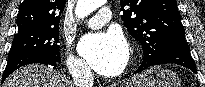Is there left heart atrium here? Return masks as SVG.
Returning a JSON list of instances; mask_svg holds the SVG:
<instances>
[{"label":"left heart atrium","mask_w":205,"mask_h":87,"mask_svg":"<svg viewBox=\"0 0 205 87\" xmlns=\"http://www.w3.org/2000/svg\"><path fill=\"white\" fill-rule=\"evenodd\" d=\"M79 52L95 71L104 76L119 74L128 58L127 44L116 31L84 36L79 43Z\"/></svg>","instance_id":"obj_1"}]
</instances>
